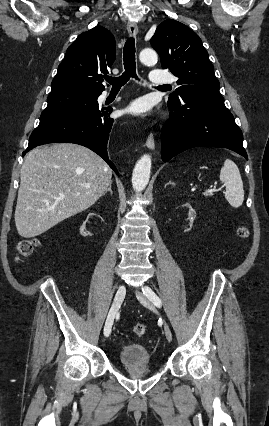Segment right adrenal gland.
<instances>
[{
    "mask_svg": "<svg viewBox=\"0 0 269 426\" xmlns=\"http://www.w3.org/2000/svg\"><path fill=\"white\" fill-rule=\"evenodd\" d=\"M107 192H110L111 195L113 194V192H112V182L109 184V187L107 188V190L104 192L103 195H105Z\"/></svg>",
    "mask_w": 269,
    "mask_h": 426,
    "instance_id": "2a0ac1e0",
    "label": "right adrenal gland"
}]
</instances>
